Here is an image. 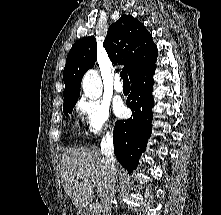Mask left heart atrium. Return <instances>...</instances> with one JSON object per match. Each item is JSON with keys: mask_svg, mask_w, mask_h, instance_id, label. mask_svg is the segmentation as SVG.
Masks as SVG:
<instances>
[{"mask_svg": "<svg viewBox=\"0 0 221 215\" xmlns=\"http://www.w3.org/2000/svg\"><path fill=\"white\" fill-rule=\"evenodd\" d=\"M115 112L118 116H123L125 114L126 108L121 101L116 104Z\"/></svg>", "mask_w": 221, "mask_h": 215, "instance_id": "obj_1", "label": "left heart atrium"}]
</instances>
